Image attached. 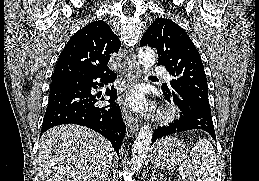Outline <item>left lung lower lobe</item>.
<instances>
[{
  "mask_svg": "<svg viewBox=\"0 0 259 181\" xmlns=\"http://www.w3.org/2000/svg\"><path fill=\"white\" fill-rule=\"evenodd\" d=\"M165 99L175 103L180 109V118L169 125L154 131L152 144L159 138L182 131L201 129L208 132L216 140L211 112L193 102L189 97L163 89Z\"/></svg>",
  "mask_w": 259,
  "mask_h": 181,
  "instance_id": "obj_1",
  "label": "left lung lower lobe"
}]
</instances>
